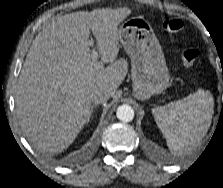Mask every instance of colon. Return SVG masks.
<instances>
[{"instance_id": "colon-1", "label": "colon", "mask_w": 223, "mask_h": 188, "mask_svg": "<svg viewBox=\"0 0 223 188\" xmlns=\"http://www.w3.org/2000/svg\"><path fill=\"white\" fill-rule=\"evenodd\" d=\"M163 30L169 34L178 35L183 31V23L180 19L170 18L163 21ZM199 51L194 47H186L181 52V59L185 66L192 67L196 64Z\"/></svg>"}]
</instances>
